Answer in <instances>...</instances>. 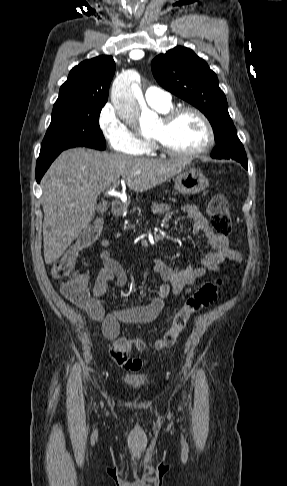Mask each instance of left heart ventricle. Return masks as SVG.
<instances>
[{
  "instance_id": "obj_1",
  "label": "left heart ventricle",
  "mask_w": 287,
  "mask_h": 486,
  "mask_svg": "<svg viewBox=\"0 0 287 486\" xmlns=\"http://www.w3.org/2000/svg\"><path fill=\"white\" fill-rule=\"evenodd\" d=\"M157 135H163L166 142L179 151H192L202 147L206 142L205 127L193 113L181 115L166 131L160 120L152 133V136Z\"/></svg>"
}]
</instances>
